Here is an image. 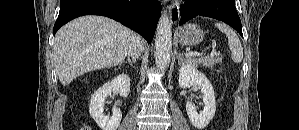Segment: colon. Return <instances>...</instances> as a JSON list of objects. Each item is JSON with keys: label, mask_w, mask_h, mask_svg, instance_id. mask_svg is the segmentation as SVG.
Segmentation results:
<instances>
[{"label": "colon", "mask_w": 299, "mask_h": 130, "mask_svg": "<svg viewBox=\"0 0 299 130\" xmlns=\"http://www.w3.org/2000/svg\"><path fill=\"white\" fill-rule=\"evenodd\" d=\"M80 130H90L88 127H82Z\"/></svg>", "instance_id": "1"}]
</instances>
